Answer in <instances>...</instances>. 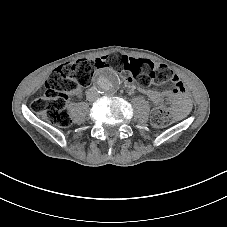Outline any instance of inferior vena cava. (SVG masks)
Masks as SVG:
<instances>
[{
  "label": "inferior vena cava",
  "instance_id": "inferior-vena-cava-1",
  "mask_svg": "<svg viewBox=\"0 0 227 227\" xmlns=\"http://www.w3.org/2000/svg\"><path fill=\"white\" fill-rule=\"evenodd\" d=\"M87 99L88 100H97L99 99V93H98V90L97 88H90L88 91H87Z\"/></svg>",
  "mask_w": 227,
  "mask_h": 227
}]
</instances>
